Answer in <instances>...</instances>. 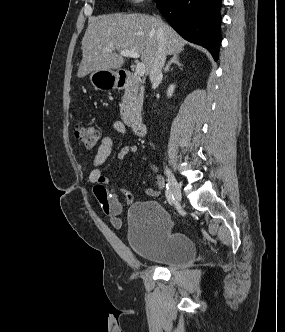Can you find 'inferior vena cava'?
Instances as JSON below:
<instances>
[{"label":"inferior vena cava","instance_id":"602c4592","mask_svg":"<svg viewBox=\"0 0 285 332\" xmlns=\"http://www.w3.org/2000/svg\"><path fill=\"white\" fill-rule=\"evenodd\" d=\"M163 31L162 29L159 30V33L161 34ZM166 45L165 41L162 39L159 42L158 52L156 55V58L154 60V63L151 67L150 71V81L153 83L157 80L162 79V68L164 66V63L166 61Z\"/></svg>","mask_w":285,"mask_h":332}]
</instances>
